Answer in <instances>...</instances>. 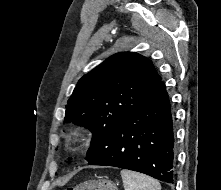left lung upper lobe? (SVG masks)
Segmentation results:
<instances>
[{
    "mask_svg": "<svg viewBox=\"0 0 221 190\" xmlns=\"http://www.w3.org/2000/svg\"><path fill=\"white\" fill-rule=\"evenodd\" d=\"M160 81L152 63L134 52L111 56L78 81L64 121L92 131L88 162L107 147L114 128L143 103Z\"/></svg>",
    "mask_w": 221,
    "mask_h": 190,
    "instance_id": "left-lung-upper-lobe-1",
    "label": "left lung upper lobe"
}]
</instances>
